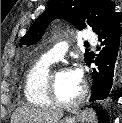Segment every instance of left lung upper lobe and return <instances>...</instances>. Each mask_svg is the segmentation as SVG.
<instances>
[{
  "label": "left lung upper lobe",
  "instance_id": "5c2ea615",
  "mask_svg": "<svg viewBox=\"0 0 122 123\" xmlns=\"http://www.w3.org/2000/svg\"><path fill=\"white\" fill-rule=\"evenodd\" d=\"M114 14V7L110 0H51L48 9L23 36L20 45L37 42L48 24L56 18L69 21L79 30L90 26L98 34ZM90 55V52H85V62Z\"/></svg>",
  "mask_w": 122,
  "mask_h": 123
}]
</instances>
